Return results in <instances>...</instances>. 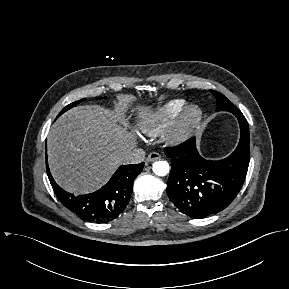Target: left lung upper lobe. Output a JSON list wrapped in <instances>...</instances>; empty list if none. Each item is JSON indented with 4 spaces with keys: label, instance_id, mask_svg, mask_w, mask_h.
Returning <instances> with one entry per match:
<instances>
[{
    "label": "left lung upper lobe",
    "instance_id": "obj_1",
    "mask_svg": "<svg viewBox=\"0 0 289 289\" xmlns=\"http://www.w3.org/2000/svg\"><path fill=\"white\" fill-rule=\"evenodd\" d=\"M210 92L216 97L217 110L218 111H229L233 114L242 113L233 103H231L224 95L217 91L210 90Z\"/></svg>",
    "mask_w": 289,
    "mask_h": 289
}]
</instances>
